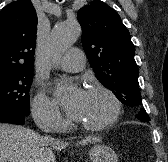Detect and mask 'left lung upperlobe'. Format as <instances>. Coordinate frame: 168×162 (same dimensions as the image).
Segmentation results:
<instances>
[{
	"label": "left lung upper lobe",
	"mask_w": 168,
	"mask_h": 162,
	"mask_svg": "<svg viewBox=\"0 0 168 162\" xmlns=\"http://www.w3.org/2000/svg\"><path fill=\"white\" fill-rule=\"evenodd\" d=\"M77 18L83 49L98 80L123 104L141 105L135 47L118 13L102 1H93L78 11ZM136 116L149 119L145 109Z\"/></svg>",
	"instance_id": "obj_1"
}]
</instances>
